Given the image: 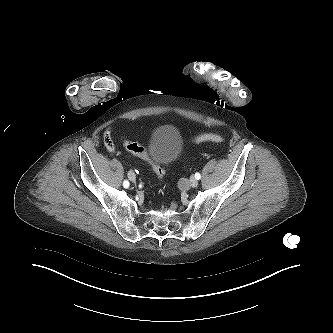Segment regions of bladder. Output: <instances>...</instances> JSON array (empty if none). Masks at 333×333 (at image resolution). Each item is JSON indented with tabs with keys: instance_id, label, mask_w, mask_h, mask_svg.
Returning a JSON list of instances; mask_svg holds the SVG:
<instances>
[{
	"instance_id": "31cf9c89",
	"label": "bladder",
	"mask_w": 333,
	"mask_h": 333,
	"mask_svg": "<svg viewBox=\"0 0 333 333\" xmlns=\"http://www.w3.org/2000/svg\"><path fill=\"white\" fill-rule=\"evenodd\" d=\"M182 149L183 139L179 130L171 125H162L153 130L147 153L152 163L165 167L179 158Z\"/></svg>"
}]
</instances>
